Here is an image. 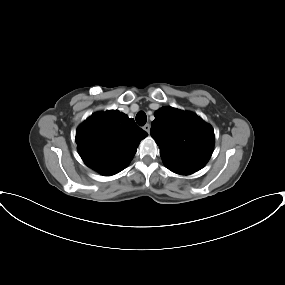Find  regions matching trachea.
Here are the masks:
<instances>
[{
	"label": "trachea",
	"mask_w": 285,
	"mask_h": 285,
	"mask_svg": "<svg viewBox=\"0 0 285 285\" xmlns=\"http://www.w3.org/2000/svg\"><path fill=\"white\" fill-rule=\"evenodd\" d=\"M136 122L140 125L143 126L147 122V116L143 111H140L136 115Z\"/></svg>",
	"instance_id": "trachea-1"
}]
</instances>
